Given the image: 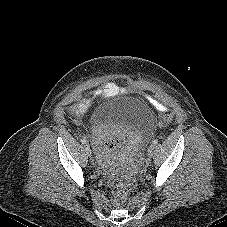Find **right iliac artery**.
Returning <instances> with one entry per match:
<instances>
[{
    "label": "right iliac artery",
    "instance_id": "right-iliac-artery-1",
    "mask_svg": "<svg viewBox=\"0 0 227 227\" xmlns=\"http://www.w3.org/2000/svg\"><path fill=\"white\" fill-rule=\"evenodd\" d=\"M81 143L82 144H85L86 143V140L83 138V139H81Z\"/></svg>",
    "mask_w": 227,
    "mask_h": 227
}]
</instances>
